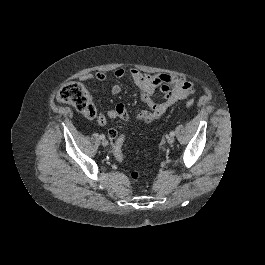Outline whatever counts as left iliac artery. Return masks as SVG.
<instances>
[{"label":"left iliac artery","instance_id":"obj_1","mask_svg":"<svg viewBox=\"0 0 265 265\" xmlns=\"http://www.w3.org/2000/svg\"><path fill=\"white\" fill-rule=\"evenodd\" d=\"M170 135H171V136H174V135H175V132H174V131H171V132H170Z\"/></svg>","mask_w":265,"mask_h":265}]
</instances>
